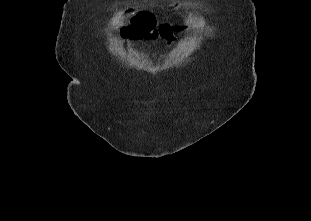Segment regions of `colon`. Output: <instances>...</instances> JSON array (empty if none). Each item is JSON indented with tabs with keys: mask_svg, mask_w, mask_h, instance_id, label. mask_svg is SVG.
<instances>
[{
	"mask_svg": "<svg viewBox=\"0 0 311 221\" xmlns=\"http://www.w3.org/2000/svg\"><path fill=\"white\" fill-rule=\"evenodd\" d=\"M135 19L140 20L141 23L122 26L123 39H156L161 36L169 40L174 38L175 27L169 22H164L158 29L154 14L148 9L140 10Z\"/></svg>",
	"mask_w": 311,
	"mask_h": 221,
	"instance_id": "5ec220e1",
	"label": "colon"
}]
</instances>
